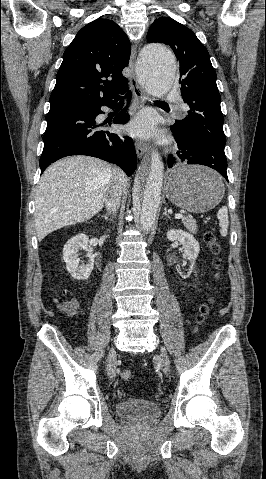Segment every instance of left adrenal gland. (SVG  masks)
<instances>
[{
    "label": "left adrenal gland",
    "mask_w": 266,
    "mask_h": 479,
    "mask_svg": "<svg viewBox=\"0 0 266 479\" xmlns=\"http://www.w3.org/2000/svg\"><path fill=\"white\" fill-rule=\"evenodd\" d=\"M163 215L166 216L169 220H171L169 214L167 213V208L166 207L164 208Z\"/></svg>",
    "instance_id": "obj_1"
}]
</instances>
